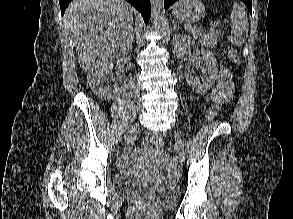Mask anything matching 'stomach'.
Returning a JSON list of instances; mask_svg holds the SVG:
<instances>
[{"mask_svg": "<svg viewBox=\"0 0 293 219\" xmlns=\"http://www.w3.org/2000/svg\"><path fill=\"white\" fill-rule=\"evenodd\" d=\"M173 15L183 21H198L205 15V6L200 0H180L174 5Z\"/></svg>", "mask_w": 293, "mask_h": 219, "instance_id": "obj_1", "label": "stomach"}]
</instances>
